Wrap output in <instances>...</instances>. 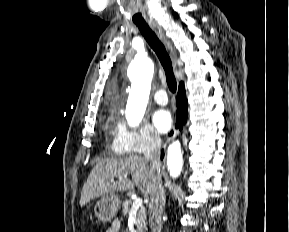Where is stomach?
<instances>
[{
	"instance_id": "1",
	"label": "stomach",
	"mask_w": 289,
	"mask_h": 232,
	"mask_svg": "<svg viewBox=\"0 0 289 232\" xmlns=\"http://www.w3.org/2000/svg\"><path fill=\"white\" fill-rule=\"evenodd\" d=\"M120 200L117 195L102 197L94 206V213L98 220L111 221L117 214Z\"/></svg>"
}]
</instances>
